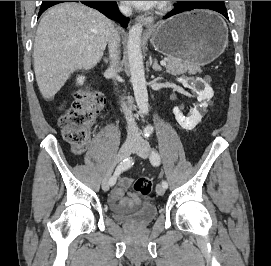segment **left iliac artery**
<instances>
[{"label":"left iliac artery","mask_w":271,"mask_h":266,"mask_svg":"<svg viewBox=\"0 0 271 266\" xmlns=\"http://www.w3.org/2000/svg\"><path fill=\"white\" fill-rule=\"evenodd\" d=\"M150 161L152 163L153 166H158L160 164V155L156 150H152L151 152V156H150ZM162 186L164 188L168 187V183L166 181H162Z\"/></svg>","instance_id":"1"}]
</instances>
